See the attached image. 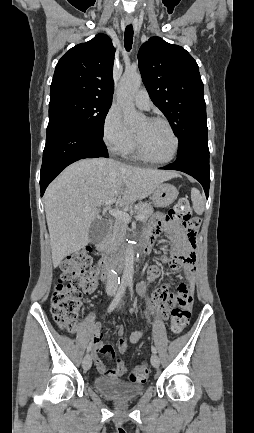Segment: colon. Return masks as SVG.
<instances>
[{
	"label": "colon",
	"instance_id": "1",
	"mask_svg": "<svg viewBox=\"0 0 254 433\" xmlns=\"http://www.w3.org/2000/svg\"><path fill=\"white\" fill-rule=\"evenodd\" d=\"M165 224L174 225L183 232L192 245H196V235L200 219L193 214L187 198L179 199L170 210L161 215ZM102 266H91V254L87 249L79 250L61 263V273L51 298V313L55 322L65 331L73 332L77 327L78 315L83 294L95 291ZM192 299L186 296L177 298L178 307L171 310L170 331L182 333L190 320ZM149 374L147 362L138 364L130 373V381L143 382Z\"/></svg>",
	"mask_w": 254,
	"mask_h": 433
}]
</instances>
